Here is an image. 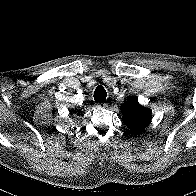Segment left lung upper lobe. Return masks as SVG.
Wrapping results in <instances>:
<instances>
[{"label": "left lung upper lobe", "instance_id": "5c2ea615", "mask_svg": "<svg viewBox=\"0 0 196 196\" xmlns=\"http://www.w3.org/2000/svg\"><path fill=\"white\" fill-rule=\"evenodd\" d=\"M121 111L123 122L133 133H142L151 120L150 110L140 105L136 98H129Z\"/></svg>", "mask_w": 196, "mask_h": 196}]
</instances>
